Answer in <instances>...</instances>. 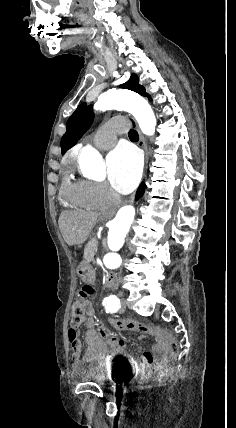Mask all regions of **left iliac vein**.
<instances>
[{
    "label": "left iliac vein",
    "mask_w": 236,
    "mask_h": 428,
    "mask_svg": "<svg viewBox=\"0 0 236 428\" xmlns=\"http://www.w3.org/2000/svg\"><path fill=\"white\" fill-rule=\"evenodd\" d=\"M120 303H121V304H125V303H126L125 298H122V299L120 300Z\"/></svg>",
    "instance_id": "left-iliac-vein-1"
}]
</instances>
